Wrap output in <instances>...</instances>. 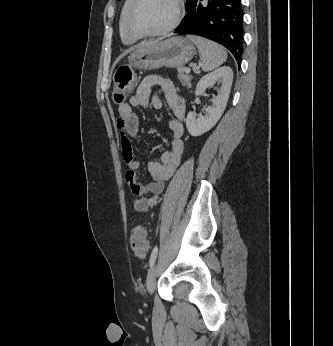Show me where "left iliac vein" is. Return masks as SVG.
<instances>
[{
	"label": "left iliac vein",
	"mask_w": 333,
	"mask_h": 346,
	"mask_svg": "<svg viewBox=\"0 0 333 346\" xmlns=\"http://www.w3.org/2000/svg\"><path fill=\"white\" fill-rule=\"evenodd\" d=\"M158 268H159L158 263H155L148 274L146 287L149 294H152L155 290Z\"/></svg>",
	"instance_id": "left-iliac-vein-1"
}]
</instances>
